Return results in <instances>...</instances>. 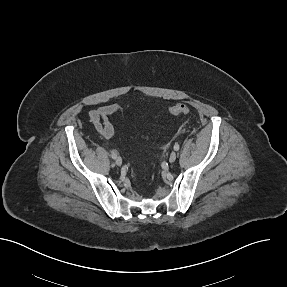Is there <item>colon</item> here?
I'll return each mask as SVG.
<instances>
[{
    "mask_svg": "<svg viewBox=\"0 0 287 287\" xmlns=\"http://www.w3.org/2000/svg\"><path fill=\"white\" fill-rule=\"evenodd\" d=\"M190 112V106L186 102H177L170 106L169 113L172 116H184Z\"/></svg>",
    "mask_w": 287,
    "mask_h": 287,
    "instance_id": "5ec220e1",
    "label": "colon"
}]
</instances>
